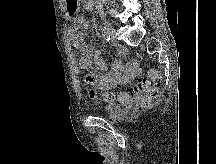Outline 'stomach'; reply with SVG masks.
Listing matches in <instances>:
<instances>
[{
	"label": "stomach",
	"mask_w": 216,
	"mask_h": 164,
	"mask_svg": "<svg viewBox=\"0 0 216 164\" xmlns=\"http://www.w3.org/2000/svg\"><path fill=\"white\" fill-rule=\"evenodd\" d=\"M66 8L65 11L67 12V17H79V5L80 0H65Z\"/></svg>",
	"instance_id": "0dacf381"
}]
</instances>
